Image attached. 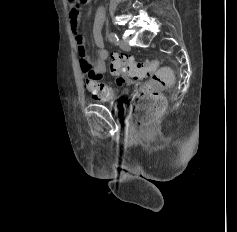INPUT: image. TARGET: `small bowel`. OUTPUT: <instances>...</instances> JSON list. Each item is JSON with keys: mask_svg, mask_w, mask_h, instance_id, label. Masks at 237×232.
I'll use <instances>...</instances> for the list:
<instances>
[{"mask_svg": "<svg viewBox=\"0 0 237 232\" xmlns=\"http://www.w3.org/2000/svg\"><path fill=\"white\" fill-rule=\"evenodd\" d=\"M69 20L72 31L75 36V43L79 56L80 70L84 77V87L88 90L94 99L100 101H108L115 97V91L109 84L103 83L102 79L106 73V60L109 53L104 48L102 37L103 17L101 13H97L93 24V39L98 47L96 57H90L85 52V39L80 29V8L71 4Z\"/></svg>", "mask_w": 237, "mask_h": 232, "instance_id": "1", "label": "small bowel"}]
</instances>
